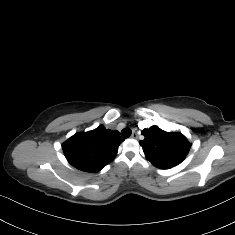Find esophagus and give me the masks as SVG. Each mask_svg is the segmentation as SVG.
I'll return each mask as SVG.
<instances>
[{
    "mask_svg": "<svg viewBox=\"0 0 235 235\" xmlns=\"http://www.w3.org/2000/svg\"><path fill=\"white\" fill-rule=\"evenodd\" d=\"M131 138H133V139H137L138 138V134H137V132L135 130L132 132Z\"/></svg>",
    "mask_w": 235,
    "mask_h": 235,
    "instance_id": "34e87169",
    "label": "esophagus"
}]
</instances>
